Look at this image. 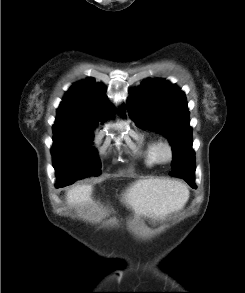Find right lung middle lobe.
<instances>
[{
    "label": "right lung middle lobe",
    "instance_id": "dd1d6c3e",
    "mask_svg": "<svg viewBox=\"0 0 245 293\" xmlns=\"http://www.w3.org/2000/svg\"><path fill=\"white\" fill-rule=\"evenodd\" d=\"M53 132L52 156L59 187L100 175L101 162L90 145L94 137L92 128L55 124Z\"/></svg>",
    "mask_w": 245,
    "mask_h": 293
}]
</instances>
